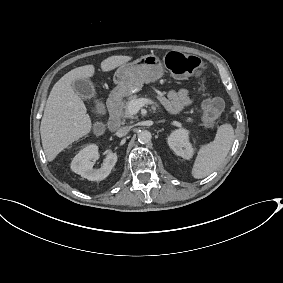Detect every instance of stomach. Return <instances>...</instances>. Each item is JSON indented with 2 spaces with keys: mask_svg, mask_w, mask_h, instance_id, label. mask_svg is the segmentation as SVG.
Wrapping results in <instances>:
<instances>
[{
  "mask_svg": "<svg viewBox=\"0 0 283 283\" xmlns=\"http://www.w3.org/2000/svg\"><path fill=\"white\" fill-rule=\"evenodd\" d=\"M165 74L164 65L155 54H146L139 59L120 66L115 75L114 88L119 96H129L140 91L144 83H152L160 80Z\"/></svg>",
  "mask_w": 283,
  "mask_h": 283,
  "instance_id": "0dacf381",
  "label": "stomach"
}]
</instances>
